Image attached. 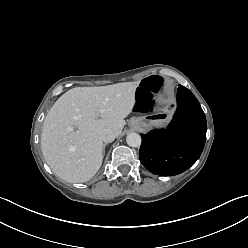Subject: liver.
I'll list each match as a JSON object with an SVG mask.
<instances>
[{
  "label": "liver",
  "instance_id": "obj_1",
  "mask_svg": "<svg viewBox=\"0 0 248 248\" xmlns=\"http://www.w3.org/2000/svg\"><path fill=\"white\" fill-rule=\"evenodd\" d=\"M138 86L139 81L76 87L54 103L44 120L41 149L58 177L81 183L98 172L103 161L99 133L108 128L121 134Z\"/></svg>",
  "mask_w": 248,
  "mask_h": 248
}]
</instances>
